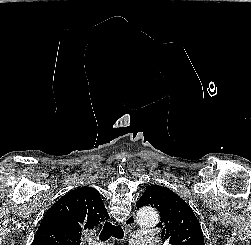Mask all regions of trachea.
I'll use <instances>...</instances> for the list:
<instances>
[{
  "label": "trachea",
  "instance_id": "3493384b",
  "mask_svg": "<svg viewBox=\"0 0 251 245\" xmlns=\"http://www.w3.org/2000/svg\"><path fill=\"white\" fill-rule=\"evenodd\" d=\"M111 236H114L117 239H122L124 236L123 229L120 225H113L111 222H105L104 227L100 233L99 239L101 241H106Z\"/></svg>",
  "mask_w": 251,
  "mask_h": 245
}]
</instances>
